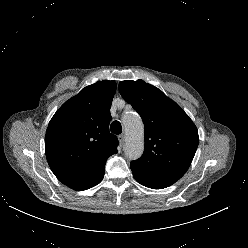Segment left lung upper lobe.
I'll return each mask as SVG.
<instances>
[{
	"instance_id": "left-lung-upper-lobe-1",
	"label": "left lung upper lobe",
	"mask_w": 248,
	"mask_h": 248,
	"mask_svg": "<svg viewBox=\"0 0 248 248\" xmlns=\"http://www.w3.org/2000/svg\"><path fill=\"white\" fill-rule=\"evenodd\" d=\"M124 100L142 117L143 155L130 164L134 178L152 189L166 188L188 170L199 136L190 117L161 90L143 80L121 81Z\"/></svg>"
}]
</instances>
